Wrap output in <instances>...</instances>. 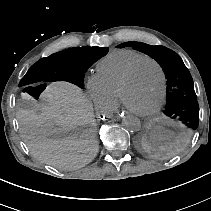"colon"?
Here are the masks:
<instances>
[{"label":"colon","instance_id":"obj_1","mask_svg":"<svg viewBox=\"0 0 211 211\" xmlns=\"http://www.w3.org/2000/svg\"><path fill=\"white\" fill-rule=\"evenodd\" d=\"M46 89L45 84L38 83V84H31L24 88L23 90V97L26 100H37L40 96L44 93Z\"/></svg>","mask_w":211,"mask_h":211}]
</instances>
